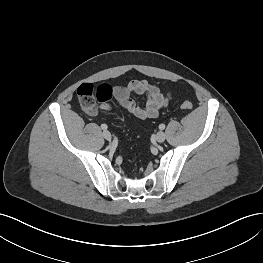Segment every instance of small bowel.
<instances>
[{
  "label": "small bowel",
  "instance_id": "obj_1",
  "mask_svg": "<svg viewBox=\"0 0 263 263\" xmlns=\"http://www.w3.org/2000/svg\"><path fill=\"white\" fill-rule=\"evenodd\" d=\"M118 105L138 119L155 118L159 111L170 100L169 94H164L155 85L145 79H133L126 86H116L113 90ZM146 96L145 104H140L132 98V95ZM109 104L100 106L102 110H109ZM91 116L98 114V108L94 107L87 111Z\"/></svg>",
  "mask_w": 263,
  "mask_h": 263
}]
</instances>
